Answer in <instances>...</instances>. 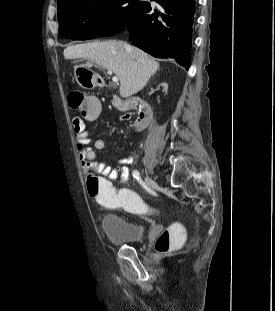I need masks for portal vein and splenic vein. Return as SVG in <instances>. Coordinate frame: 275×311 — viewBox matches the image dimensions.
Wrapping results in <instances>:
<instances>
[{"label":"portal vein and splenic vein","instance_id":"1","mask_svg":"<svg viewBox=\"0 0 275 311\" xmlns=\"http://www.w3.org/2000/svg\"><path fill=\"white\" fill-rule=\"evenodd\" d=\"M108 74L111 75V74H112V71L108 70ZM112 81H113L114 83H118V77L113 76V77H112Z\"/></svg>","mask_w":275,"mask_h":311}]
</instances>
